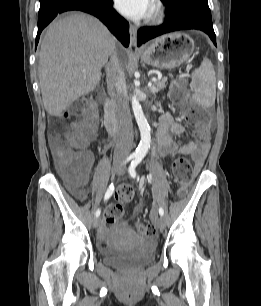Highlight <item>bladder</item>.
Returning <instances> with one entry per match:
<instances>
[{
  "label": "bladder",
  "mask_w": 261,
  "mask_h": 306,
  "mask_svg": "<svg viewBox=\"0 0 261 306\" xmlns=\"http://www.w3.org/2000/svg\"><path fill=\"white\" fill-rule=\"evenodd\" d=\"M115 239L100 249L101 261L109 266L136 270L151 263L155 258L156 244L148 240H140L135 245L125 246L121 241L123 232L136 235L131 229L119 230ZM137 238V237H136Z\"/></svg>",
  "instance_id": "bladder-1"
}]
</instances>
